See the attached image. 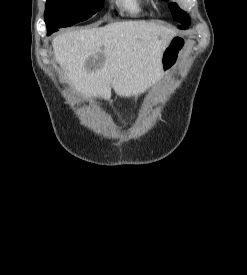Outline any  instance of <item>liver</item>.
Instances as JSON below:
<instances>
[{"instance_id":"liver-1","label":"liver","mask_w":247,"mask_h":275,"mask_svg":"<svg viewBox=\"0 0 247 275\" xmlns=\"http://www.w3.org/2000/svg\"><path fill=\"white\" fill-rule=\"evenodd\" d=\"M173 36L156 23L119 21L65 32L52 46L71 87L87 98L109 100L112 88L120 97H138L160 80L162 54Z\"/></svg>"}]
</instances>
